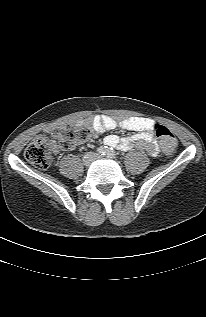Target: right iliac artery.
I'll return each mask as SVG.
<instances>
[{
    "label": "right iliac artery",
    "mask_w": 206,
    "mask_h": 317,
    "mask_svg": "<svg viewBox=\"0 0 206 317\" xmlns=\"http://www.w3.org/2000/svg\"><path fill=\"white\" fill-rule=\"evenodd\" d=\"M106 148H107L106 146L99 147L97 149V154L98 155H102V156L106 155V153H107V149Z\"/></svg>",
    "instance_id": "right-iliac-artery-1"
}]
</instances>
